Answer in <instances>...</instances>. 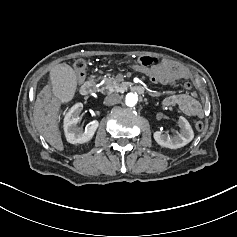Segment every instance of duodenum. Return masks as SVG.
Here are the masks:
<instances>
[{"label":"duodenum","mask_w":237,"mask_h":237,"mask_svg":"<svg viewBox=\"0 0 237 237\" xmlns=\"http://www.w3.org/2000/svg\"><path fill=\"white\" fill-rule=\"evenodd\" d=\"M96 82L93 78H88L87 80H85L83 82V84L81 85V94L82 95H91L92 93L95 92L96 90ZM134 90L138 93H143L144 88L140 85H135Z\"/></svg>","instance_id":"1"}]
</instances>
